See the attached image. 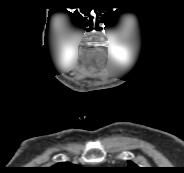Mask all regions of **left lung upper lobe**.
<instances>
[{"mask_svg": "<svg viewBox=\"0 0 184 173\" xmlns=\"http://www.w3.org/2000/svg\"><path fill=\"white\" fill-rule=\"evenodd\" d=\"M128 164H129V168H128L129 170H131L133 172H136L139 170L138 166L135 165L133 162L129 161Z\"/></svg>", "mask_w": 184, "mask_h": 173, "instance_id": "obj_1", "label": "left lung upper lobe"}]
</instances>
